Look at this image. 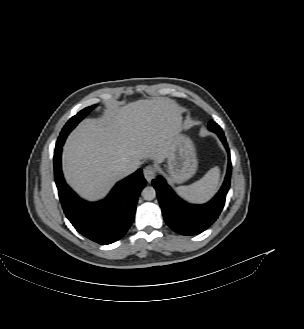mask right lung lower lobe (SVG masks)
Returning a JSON list of instances; mask_svg holds the SVG:
<instances>
[{"mask_svg": "<svg viewBox=\"0 0 304 329\" xmlns=\"http://www.w3.org/2000/svg\"><path fill=\"white\" fill-rule=\"evenodd\" d=\"M64 141L56 143L54 173L66 217L79 233L94 242L107 245L119 240L134 220L138 196L146 185L142 170L118 182L104 200L96 203L84 201L64 180L61 170Z\"/></svg>", "mask_w": 304, "mask_h": 329, "instance_id": "obj_1", "label": "right lung lower lobe"}]
</instances>
